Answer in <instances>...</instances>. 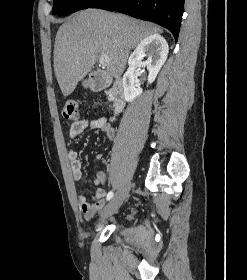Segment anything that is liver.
Listing matches in <instances>:
<instances>
[{"mask_svg":"<svg viewBox=\"0 0 247 280\" xmlns=\"http://www.w3.org/2000/svg\"><path fill=\"white\" fill-rule=\"evenodd\" d=\"M160 32L152 23L100 9L72 15L59 27L54 44V73L63 95L75 90L100 55L109 57L107 74L120 77L130 50Z\"/></svg>","mask_w":247,"mask_h":280,"instance_id":"1","label":"liver"}]
</instances>
